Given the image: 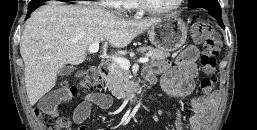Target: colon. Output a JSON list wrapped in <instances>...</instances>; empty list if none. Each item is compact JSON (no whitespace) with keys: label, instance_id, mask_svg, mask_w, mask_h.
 <instances>
[{"label":"colon","instance_id":"obj_1","mask_svg":"<svg viewBox=\"0 0 257 130\" xmlns=\"http://www.w3.org/2000/svg\"><path fill=\"white\" fill-rule=\"evenodd\" d=\"M191 32L194 39L203 43L200 65L204 77L200 82L203 95H209L215 88L216 58L222 48V43L211 25L200 18H194L191 23ZM77 86L65 83L59 91L62 101H69L81 89L85 92H95L102 86V77L93 67L83 69L77 73ZM36 116L44 130H71L67 118L63 117L54 107H42L36 110Z\"/></svg>","mask_w":257,"mask_h":130}]
</instances>
